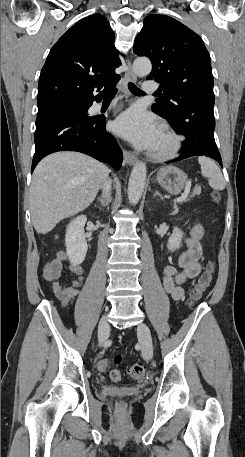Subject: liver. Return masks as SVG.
I'll list each match as a JSON object with an SVG mask.
<instances>
[{"label":"liver","mask_w":245,"mask_h":457,"mask_svg":"<svg viewBox=\"0 0 245 457\" xmlns=\"http://www.w3.org/2000/svg\"><path fill=\"white\" fill-rule=\"evenodd\" d=\"M110 170L82 152H53L37 164L30 188L34 229L46 235L57 222L93 202Z\"/></svg>","instance_id":"obj_1"}]
</instances>
